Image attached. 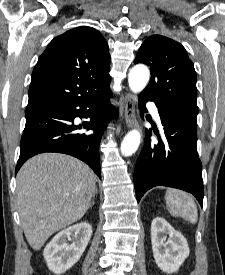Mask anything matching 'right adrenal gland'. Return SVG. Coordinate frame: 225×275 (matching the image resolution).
<instances>
[{
	"label": "right adrenal gland",
	"mask_w": 225,
	"mask_h": 275,
	"mask_svg": "<svg viewBox=\"0 0 225 275\" xmlns=\"http://www.w3.org/2000/svg\"><path fill=\"white\" fill-rule=\"evenodd\" d=\"M96 194H97V188H96V190H95V193H94L93 198L95 197ZM92 204H94V202H92Z\"/></svg>",
	"instance_id": "1"
}]
</instances>
